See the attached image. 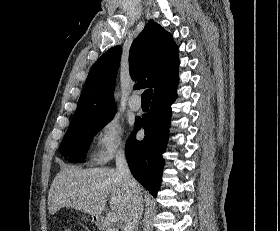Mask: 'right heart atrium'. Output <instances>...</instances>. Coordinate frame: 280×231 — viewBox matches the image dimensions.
Listing matches in <instances>:
<instances>
[{
    "instance_id": "d8ad5b80",
    "label": "right heart atrium",
    "mask_w": 280,
    "mask_h": 231,
    "mask_svg": "<svg viewBox=\"0 0 280 231\" xmlns=\"http://www.w3.org/2000/svg\"><path fill=\"white\" fill-rule=\"evenodd\" d=\"M126 148L127 143L120 120L116 117H109L101 124L98 132L94 158L98 162H107L115 154L125 151Z\"/></svg>"
}]
</instances>
